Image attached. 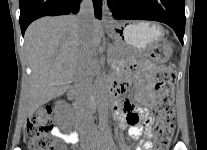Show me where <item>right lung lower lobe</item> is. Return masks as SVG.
Masks as SVG:
<instances>
[{
    "instance_id": "1",
    "label": "right lung lower lobe",
    "mask_w": 207,
    "mask_h": 150,
    "mask_svg": "<svg viewBox=\"0 0 207 150\" xmlns=\"http://www.w3.org/2000/svg\"><path fill=\"white\" fill-rule=\"evenodd\" d=\"M81 0H19L20 27L24 35L28 25L43 16L77 13ZM95 16L102 18V0H93Z\"/></svg>"
}]
</instances>
